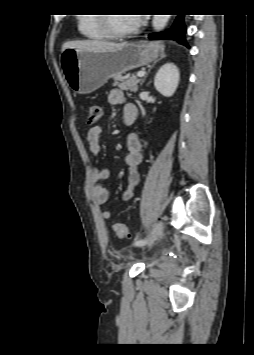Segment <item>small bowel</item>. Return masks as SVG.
<instances>
[{
  "label": "small bowel",
  "mask_w": 254,
  "mask_h": 355,
  "mask_svg": "<svg viewBox=\"0 0 254 355\" xmlns=\"http://www.w3.org/2000/svg\"><path fill=\"white\" fill-rule=\"evenodd\" d=\"M108 101L112 105L124 104L123 116L125 123H133L138 115L137 107L132 103H125L124 92L120 89H112L108 95ZM128 124V125H129ZM102 133V127H91L86 135V140L89 145V150L92 157L97 158L102 151L100 143V136ZM128 153L125 157V164L128 169V185L126 190L122 193L123 201H130L133 197V190L139 183V166L141 165L144 157V151L146 149L145 139L138 133H131L127 138ZM110 176V170L108 168L93 166L92 167V196L94 202L98 205H103L108 201L109 192L104 188L101 183L108 179ZM101 217L104 220H110L112 213L109 209H103L101 211Z\"/></svg>",
  "instance_id": "c3829d8e"
}]
</instances>
